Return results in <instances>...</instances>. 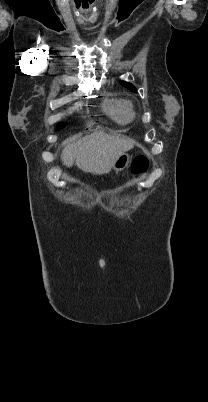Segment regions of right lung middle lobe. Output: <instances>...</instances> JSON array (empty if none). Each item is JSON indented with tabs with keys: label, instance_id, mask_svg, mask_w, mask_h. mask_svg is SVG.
Listing matches in <instances>:
<instances>
[{
	"label": "right lung middle lobe",
	"instance_id": "right-lung-middle-lobe-1",
	"mask_svg": "<svg viewBox=\"0 0 208 402\" xmlns=\"http://www.w3.org/2000/svg\"><path fill=\"white\" fill-rule=\"evenodd\" d=\"M64 126H65V124H60L57 129L59 130V129L63 128Z\"/></svg>",
	"mask_w": 208,
	"mask_h": 402
}]
</instances>
